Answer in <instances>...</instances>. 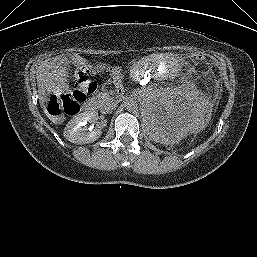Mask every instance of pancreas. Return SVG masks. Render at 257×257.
<instances>
[{"instance_id":"cf45deb5","label":"pancreas","mask_w":257,"mask_h":257,"mask_svg":"<svg viewBox=\"0 0 257 257\" xmlns=\"http://www.w3.org/2000/svg\"><path fill=\"white\" fill-rule=\"evenodd\" d=\"M95 100H97L98 102V107L103 105L104 101H105V98L102 96V95H98L96 98H94Z\"/></svg>"}]
</instances>
